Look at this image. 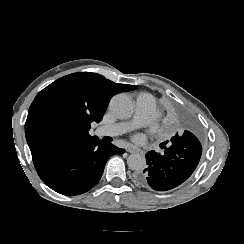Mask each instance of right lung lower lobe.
Listing matches in <instances>:
<instances>
[{
    "label": "right lung lower lobe",
    "instance_id": "98d812e1",
    "mask_svg": "<svg viewBox=\"0 0 244 244\" xmlns=\"http://www.w3.org/2000/svg\"><path fill=\"white\" fill-rule=\"evenodd\" d=\"M30 150L43 182L64 195H79L90 190L100 180L108 158L125 152L98 138L47 144Z\"/></svg>",
    "mask_w": 244,
    "mask_h": 244
}]
</instances>
